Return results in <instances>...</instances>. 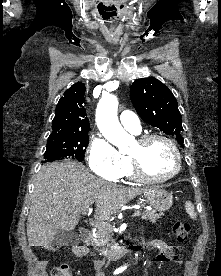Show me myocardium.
Wrapping results in <instances>:
<instances>
[{"label": "myocardium", "instance_id": "myocardium-1", "mask_svg": "<svg viewBox=\"0 0 221 276\" xmlns=\"http://www.w3.org/2000/svg\"><path fill=\"white\" fill-rule=\"evenodd\" d=\"M153 140H162L166 142L172 149L175 160H176V166L174 171L164 177H154L149 175L143 168V165L140 161V159L137 156L131 155L129 156V159L131 161L133 173L136 178H138L141 181L144 182H149V183H162L169 181L173 178H175L181 171L182 168V158H181V153L180 150L177 146V144L168 136L163 135V134H147L143 135L140 138H138L137 143L141 146L153 141Z\"/></svg>", "mask_w": 221, "mask_h": 276}]
</instances>
